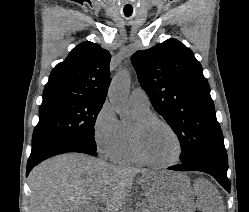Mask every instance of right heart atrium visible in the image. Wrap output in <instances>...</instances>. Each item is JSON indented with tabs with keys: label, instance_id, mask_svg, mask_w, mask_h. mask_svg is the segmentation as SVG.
<instances>
[{
	"label": "right heart atrium",
	"instance_id": "right-heart-atrium-1",
	"mask_svg": "<svg viewBox=\"0 0 249 212\" xmlns=\"http://www.w3.org/2000/svg\"><path fill=\"white\" fill-rule=\"evenodd\" d=\"M92 133L98 151L113 159L121 142L119 122L109 102H104L94 116Z\"/></svg>",
	"mask_w": 249,
	"mask_h": 212
}]
</instances>
